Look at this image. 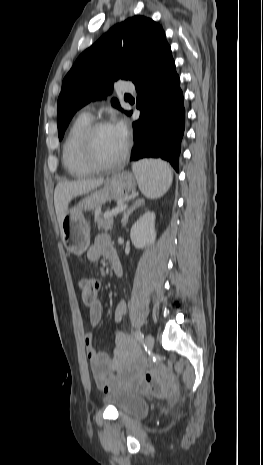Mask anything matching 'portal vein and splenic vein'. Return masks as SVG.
I'll return each mask as SVG.
<instances>
[{
  "label": "portal vein and splenic vein",
  "instance_id": "18ae733b",
  "mask_svg": "<svg viewBox=\"0 0 263 465\" xmlns=\"http://www.w3.org/2000/svg\"><path fill=\"white\" fill-rule=\"evenodd\" d=\"M126 208H127V204H122V205L118 206L117 208H115L114 210H112L110 212H106L104 214V217L105 218H110L112 216H116L117 214H119L120 212L125 210Z\"/></svg>",
  "mask_w": 263,
  "mask_h": 465
}]
</instances>
